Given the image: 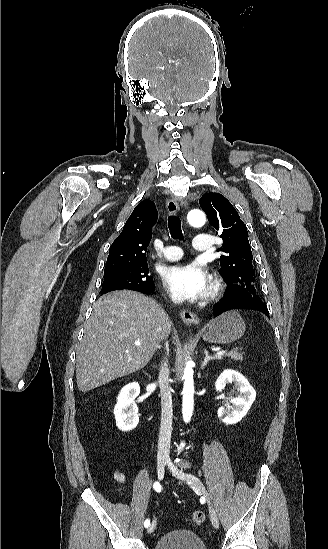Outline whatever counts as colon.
I'll use <instances>...</instances> for the list:
<instances>
[{
  "label": "colon",
  "mask_w": 328,
  "mask_h": 549,
  "mask_svg": "<svg viewBox=\"0 0 328 549\" xmlns=\"http://www.w3.org/2000/svg\"><path fill=\"white\" fill-rule=\"evenodd\" d=\"M190 520L195 525H201L205 520V515L201 511H195L191 514Z\"/></svg>",
  "instance_id": "colon-1"
}]
</instances>
